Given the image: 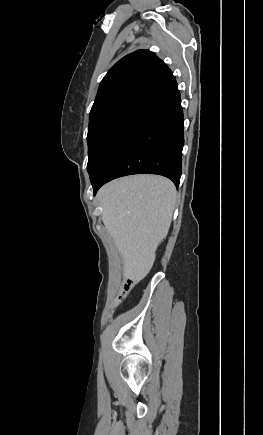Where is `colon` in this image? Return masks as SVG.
<instances>
[{
  "mask_svg": "<svg viewBox=\"0 0 263 435\" xmlns=\"http://www.w3.org/2000/svg\"><path fill=\"white\" fill-rule=\"evenodd\" d=\"M133 287H134V283L132 281H127L124 283L123 292L118 299V303H121L123 300H125L127 298V296L129 295V293L131 292Z\"/></svg>",
  "mask_w": 263,
  "mask_h": 435,
  "instance_id": "1",
  "label": "colon"
}]
</instances>
